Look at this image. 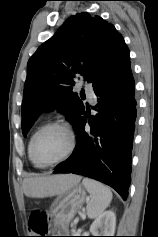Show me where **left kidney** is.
<instances>
[{"mask_svg": "<svg viewBox=\"0 0 158 237\" xmlns=\"http://www.w3.org/2000/svg\"><path fill=\"white\" fill-rule=\"evenodd\" d=\"M116 216L112 210L102 213L90 226L92 236H114Z\"/></svg>", "mask_w": 158, "mask_h": 237, "instance_id": "left-kidney-1", "label": "left kidney"}]
</instances>
